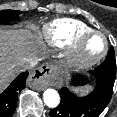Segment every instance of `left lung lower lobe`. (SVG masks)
I'll use <instances>...</instances> for the list:
<instances>
[{
  "instance_id": "1",
  "label": "left lung lower lobe",
  "mask_w": 117,
  "mask_h": 117,
  "mask_svg": "<svg viewBox=\"0 0 117 117\" xmlns=\"http://www.w3.org/2000/svg\"><path fill=\"white\" fill-rule=\"evenodd\" d=\"M92 74L97 78L95 89L87 96L78 97L63 87L59 91L60 104L49 112L50 117H98L102 113L111 100L116 71L101 64Z\"/></svg>"
}]
</instances>
